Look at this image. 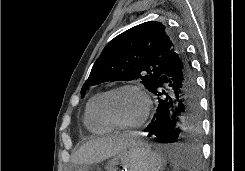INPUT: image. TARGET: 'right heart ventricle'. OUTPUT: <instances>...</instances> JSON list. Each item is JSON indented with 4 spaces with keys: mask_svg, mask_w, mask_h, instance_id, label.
Wrapping results in <instances>:
<instances>
[{
    "mask_svg": "<svg viewBox=\"0 0 245 171\" xmlns=\"http://www.w3.org/2000/svg\"><path fill=\"white\" fill-rule=\"evenodd\" d=\"M103 92L93 95L87 102L84 112V125L92 133L105 134L113 130L111 126L103 121L99 114L98 105Z\"/></svg>",
    "mask_w": 245,
    "mask_h": 171,
    "instance_id": "1",
    "label": "right heart ventricle"
}]
</instances>
